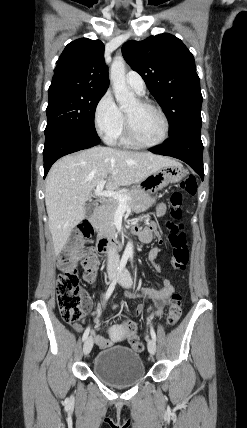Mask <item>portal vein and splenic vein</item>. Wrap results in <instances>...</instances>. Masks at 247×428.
Returning a JSON list of instances; mask_svg holds the SVG:
<instances>
[{"instance_id": "18ae733b", "label": "portal vein and splenic vein", "mask_w": 247, "mask_h": 428, "mask_svg": "<svg viewBox=\"0 0 247 428\" xmlns=\"http://www.w3.org/2000/svg\"><path fill=\"white\" fill-rule=\"evenodd\" d=\"M105 183H106L105 180H102L99 182V184L97 185L96 190L94 192L96 196L114 198V199L118 200L119 203H121V204H126L127 201L131 200V197H129L125 194L115 192L113 190L104 191L103 188H104Z\"/></svg>"}]
</instances>
